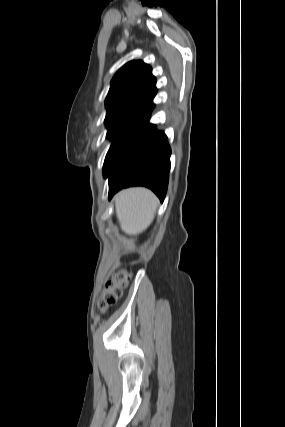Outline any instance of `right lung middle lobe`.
Returning <instances> with one entry per match:
<instances>
[{
    "label": "right lung middle lobe",
    "instance_id": "dd1d6c3e",
    "mask_svg": "<svg viewBox=\"0 0 285 427\" xmlns=\"http://www.w3.org/2000/svg\"><path fill=\"white\" fill-rule=\"evenodd\" d=\"M145 115V113L118 114L105 119L108 128L107 137L112 139V144L105 158L103 173L112 166L119 151Z\"/></svg>",
    "mask_w": 285,
    "mask_h": 427
}]
</instances>
